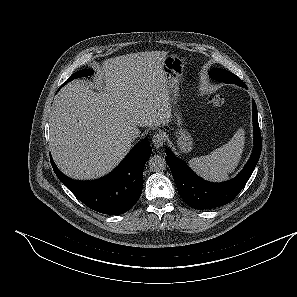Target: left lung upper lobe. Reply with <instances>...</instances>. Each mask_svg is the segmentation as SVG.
I'll return each mask as SVG.
<instances>
[{"instance_id":"obj_1","label":"left lung upper lobe","mask_w":297,"mask_h":297,"mask_svg":"<svg viewBox=\"0 0 297 297\" xmlns=\"http://www.w3.org/2000/svg\"><path fill=\"white\" fill-rule=\"evenodd\" d=\"M209 76L212 79L217 80V81H222L225 83H233V84H237L242 87H246V85L243 81H241L235 74H233L227 70L215 68L209 72Z\"/></svg>"}]
</instances>
